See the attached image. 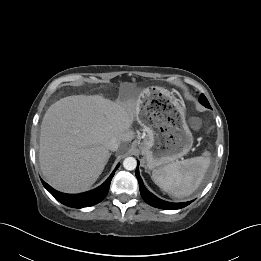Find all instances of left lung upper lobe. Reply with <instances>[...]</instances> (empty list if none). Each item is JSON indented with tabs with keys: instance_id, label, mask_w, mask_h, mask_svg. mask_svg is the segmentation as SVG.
<instances>
[{
	"instance_id": "5c2ea615",
	"label": "left lung upper lobe",
	"mask_w": 261,
	"mask_h": 261,
	"mask_svg": "<svg viewBox=\"0 0 261 261\" xmlns=\"http://www.w3.org/2000/svg\"><path fill=\"white\" fill-rule=\"evenodd\" d=\"M199 101L207 108H211L207 98L204 96V94L200 95Z\"/></svg>"
}]
</instances>
